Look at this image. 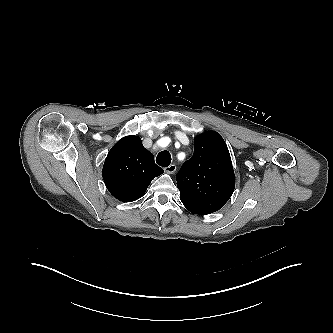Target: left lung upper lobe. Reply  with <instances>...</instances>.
I'll return each instance as SVG.
<instances>
[{
    "instance_id": "1",
    "label": "left lung upper lobe",
    "mask_w": 333,
    "mask_h": 333,
    "mask_svg": "<svg viewBox=\"0 0 333 333\" xmlns=\"http://www.w3.org/2000/svg\"><path fill=\"white\" fill-rule=\"evenodd\" d=\"M180 199L191 213L221 209L235 188V174L226 143L215 131L194 139V153L176 176Z\"/></svg>"
}]
</instances>
